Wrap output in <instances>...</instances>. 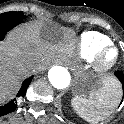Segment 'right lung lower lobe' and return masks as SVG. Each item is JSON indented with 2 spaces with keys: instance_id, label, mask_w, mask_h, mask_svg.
Listing matches in <instances>:
<instances>
[{
  "instance_id": "98d812e1",
  "label": "right lung lower lobe",
  "mask_w": 124,
  "mask_h": 124,
  "mask_svg": "<svg viewBox=\"0 0 124 124\" xmlns=\"http://www.w3.org/2000/svg\"><path fill=\"white\" fill-rule=\"evenodd\" d=\"M22 22L23 21H15V20H8V19L0 20V41L3 40V38L5 37L8 31H10L12 28L19 25ZM32 79H33V76L29 77L23 82L22 87L20 88L17 94V97L25 96L27 88L31 83ZM16 107H17V102H16V99H14L9 103L5 104L4 106L0 107V116L13 112L16 109Z\"/></svg>"
}]
</instances>
